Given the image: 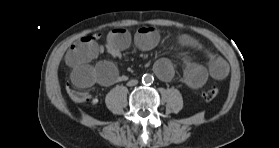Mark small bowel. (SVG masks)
Here are the masks:
<instances>
[{"instance_id":"1","label":"small bowel","mask_w":279,"mask_h":148,"mask_svg":"<svg viewBox=\"0 0 279 148\" xmlns=\"http://www.w3.org/2000/svg\"><path fill=\"white\" fill-rule=\"evenodd\" d=\"M133 40L138 48L150 50L158 44L160 35L157 30L147 26L140 28L134 35ZM179 41L183 46L203 51L208 59L206 67L188 57L183 58V80L187 86L199 88L207 81L208 77L222 80L227 76L229 66L220 55L205 49L197 39L189 35H181ZM131 43V34L124 28L112 30L104 44L100 43L99 34L79 39L68 49L65 55L66 63L72 69L71 79L73 84L79 88H89L95 84L109 87L115 84L120 76L116 66L111 61L102 60L95 65L90 62L103 52H108L117 57ZM154 70L165 81L172 79L174 75L173 64L167 58L158 59L154 65Z\"/></svg>"}]
</instances>
